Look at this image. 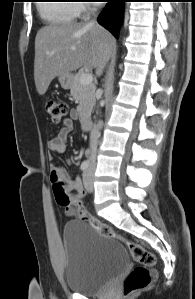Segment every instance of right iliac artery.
<instances>
[{"label": "right iliac artery", "instance_id": "right-iliac-artery-1", "mask_svg": "<svg viewBox=\"0 0 195 299\" xmlns=\"http://www.w3.org/2000/svg\"><path fill=\"white\" fill-rule=\"evenodd\" d=\"M89 167V161L88 160H84L82 163H81V166H80V169L85 172Z\"/></svg>", "mask_w": 195, "mask_h": 299}]
</instances>
